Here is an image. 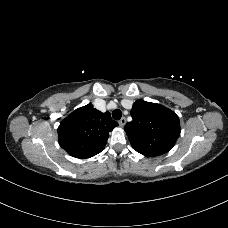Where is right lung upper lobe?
Returning a JSON list of instances; mask_svg holds the SVG:
<instances>
[{
    "label": "right lung upper lobe",
    "instance_id": "right-lung-upper-lobe-1",
    "mask_svg": "<svg viewBox=\"0 0 228 228\" xmlns=\"http://www.w3.org/2000/svg\"><path fill=\"white\" fill-rule=\"evenodd\" d=\"M118 126L110 113L80 107L67 116L58 127L60 146L71 156L85 159L100 153L107 143L109 132Z\"/></svg>",
    "mask_w": 228,
    "mask_h": 228
}]
</instances>
